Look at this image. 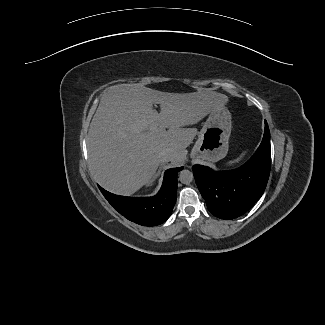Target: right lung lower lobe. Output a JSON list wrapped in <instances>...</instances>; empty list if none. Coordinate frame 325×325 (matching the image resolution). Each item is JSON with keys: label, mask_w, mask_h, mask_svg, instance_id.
<instances>
[{"label": "right lung lower lobe", "mask_w": 325, "mask_h": 325, "mask_svg": "<svg viewBox=\"0 0 325 325\" xmlns=\"http://www.w3.org/2000/svg\"><path fill=\"white\" fill-rule=\"evenodd\" d=\"M183 167L165 171L162 187L153 197H125L112 194L99 186L112 207L128 220L143 226H156L165 222L176 202L177 175Z\"/></svg>", "instance_id": "right-lung-lower-lobe-1"}]
</instances>
